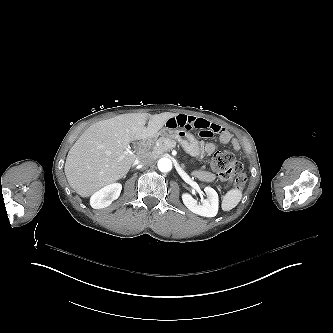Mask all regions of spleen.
I'll return each instance as SVG.
<instances>
[{"instance_id":"1","label":"spleen","mask_w":333,"mask_h":333,"mask_svg":"<svg viewBox=\"0 0 333 333\" xmlns=\"http://www.w3.org/2000/svg\"><path fill=\"white\" fill-rule=\"evenodd\" d=\"M242 199V190L234 188L229 190L223 197L221 208L223 211H230L235 208Z\"/></svg>"}]
</instances>
